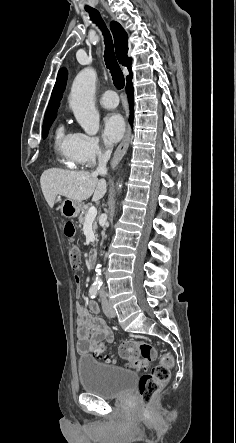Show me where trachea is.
<instances>
[{"label": "trachea", "instance_id": "obj_1", "mask_svg": "<svg viewBox=\"0 0 236 443\" xmlns=\"http://www.w3.org/2000/svg\"><path fill=\"white\" fill-rule=\"evenodd\" d=\"M86 11L89 12L91 20H93L103 32L105 41V63L107 68L110 70L115 87L117 89H122L125 84V79L114 53V46L111 35L97 10L86 9Z\"/></svg>", "mask_w": 236, "mask_h": 443}]
</instances>
